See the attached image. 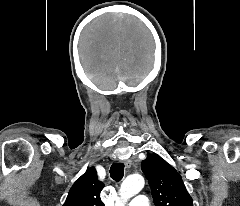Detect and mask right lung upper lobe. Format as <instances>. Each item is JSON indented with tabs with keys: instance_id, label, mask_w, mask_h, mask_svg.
<instances>
[{
	"instance_id": "1",
	"label": "right lung upper lobe",
	"mask_w": 240,
	"mask_h": 206,
	"mask_svg": "<svg viewBox=\"0 0 240 206\" xmlns=\"http://www.w3.org/2000/svg\"><path fill=\"white\" fill-rule=\"evenodd\" d=\"M103 188L95 168H88L71 187L63 206H104L100 198Z\"/></svg>"
}]
</instances>
